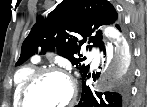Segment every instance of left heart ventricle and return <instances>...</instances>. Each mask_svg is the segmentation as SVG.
Wrapping results in <instances>:
<instances>
[{
	"mask_svg": "<svg viewBox=\"0 0 147 107\" xmlns=\"http://www.w3.org/2000/svg\"><path fill=\"white\" fill-rule=\"evenodd\" d=\"M70 85L59 75H47L39 80L28 94L31 107H58L67 101Z\"/></svg>",
	"mask_w": 147,
	"mask_h": 107,
	"instance_id": "1",
	"label": "left heart ventricle"
}]
</instances>
